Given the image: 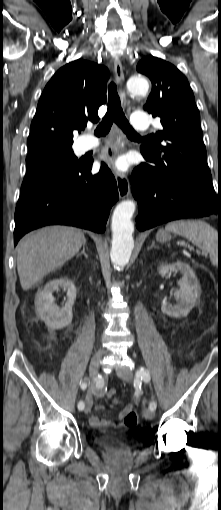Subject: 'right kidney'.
<instances>
[{
  "mask_svg": "<svg viewBox=\"0 0 221 510\" xmlns=\"http://www.w3.org/2000/svg\"><path fill=\"white\" fill-rule=\"evenodd\" d=\"M60 288L67 291V301L62 308L54 303L53 297V292ZM75 299L74 283L64 278L56 279L48 282L42 290L38 291L35 299L36 311L49 328L62 329L72 322V307Z\"/></svg>",
  "mask_w": 221,
  "mask_h": 510,
  "instance_id": "right-kidney-1",
  "label": "right kidney"
}]
</instances>
